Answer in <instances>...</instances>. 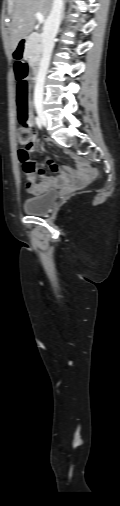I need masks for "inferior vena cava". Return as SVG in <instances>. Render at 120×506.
Returning <instances> with one entry per match:
<instances>
[{
  "instance_id": "1",
  "label": "inferior vena cava",
  "mask_w": 120,
  "mask_h": 506,
  "mask_svg": "<svg viewBox=\"0 0 120 506\" xmlns=\"http://www.w3.org/2000/svg\"><path fill=\"white\" fill-rule=\"evenodd\" d=\"M63 0H53L52 8L47 17L42 33L43 55L40 62L38 78L34 90V101L42 103L44 95V81L50 64L51 54L54 47V39L57 35L62 18Z\"/></svg>"
}]
</instances>
